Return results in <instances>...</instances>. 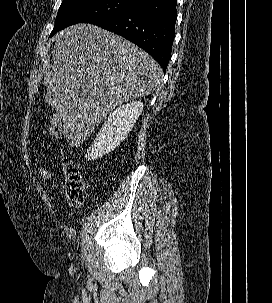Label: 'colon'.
I'll use <instances>...</instances> for the list:
<instances>
[{"mask_svg":"<svg viewBox=\"0 0 272 303\" xmlns=\"http://www.w3.org/2000/svg\"><path fill=\"white\" fill-rule=\"evenodd\" d=\"M49 133L58 137L61 133L60 120L53 117L49 123ZM64 170V196L67 202L74 208H79L85 199V183L83 176L77 165L68 157L63 160ZM37 176L43 181H51L53 179V171L46 164H38L36 166Z\"/></svg>","mask_w":272,"mask_h":303,"instance_id":"1","label":"colon"}]
</instances>
